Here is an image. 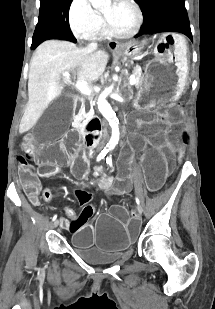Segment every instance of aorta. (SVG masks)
<instances>
[{
  "label": "aorta",
  "mask_w": 215,
  "mask_h": 309,
  "mask_svg": "<svg viewBox=\"0 0 215 309\" xmlns=\"http://www.w3.org/2000/svg\"><path fill=\"white\" fill-rule=\"evenodd\" d=\"M90 2L93 8H97V10H102V8H109L112 0H90ZM113 78H118L117 74H113ZM113 88H114V82L113 84H111V86H108V88H106L105 92H102V94H99L98 100H97L98 108L101 114H103V116L107 118L112 128L111 138L108 142L109 148H114V146L118 144L119 134H120L119 126H118V122L116 118V112L112 110L111 104H109L108 100H106V96H108L109 92H112Z\"/></svg>",
  "instance_id": "aorta-1"
}]
</instances>
